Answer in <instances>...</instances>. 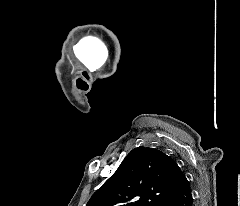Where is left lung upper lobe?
Wrapping results in <instances>:
<instances>
[{
  "label": "left lung upper lobe",
  "mask_w": 240,
  "mask_h": 206,
  "mask_svg": "<svg viewBox=\"0 0 240 206\" xmlns=\"http://www.w3.org/2000/svg\"><path fill=\"white\" fill-rule=\"evenodd\" d=\"M179 172L175 160L162 151L135 148L87 206H163Z\"/></svg>",
  "instance_id": "1"
}]
</instances>
